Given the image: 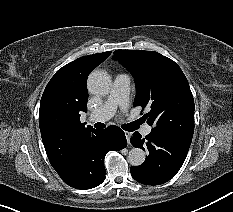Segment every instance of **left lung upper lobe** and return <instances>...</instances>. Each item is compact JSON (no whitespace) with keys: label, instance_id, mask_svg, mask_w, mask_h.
Wrapping results in <instances>:
<instances>
[{"label":"left lung upper lobe","instance_id":"left-lung-upper-lobe-1","mask_svg":"<svg viewBox=\"0 0 233 212\" xmlns=\"http://www.w3.org/2000/svg\"><path fill=\"white\" fill-rule=\"evenodd\" d=\"M113 59L131 71L136 82L133 106L148 107L143 118L152 132L192 139L194 99L180 67L153 51L116 50Z\"/></svg>","mask_w":233,"mask_h":212}]
</instances>
